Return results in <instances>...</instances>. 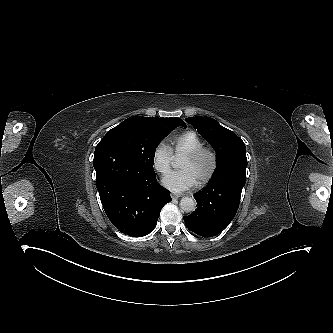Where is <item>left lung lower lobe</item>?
I'll return each instance as SVG.
<instances>
[{"instance_id":"1","label":"left lung lower lobe","mask_w":333,"mask_h":333,"mask_svg":"<svg viewBox=\"0 0 333 333\" xmlns=\"http://www.w3.org/2000/svg\"><path fill=\"white\" fill-rule=\"evenodd\" d=\"M245 182L246 172L235 182L211 179L202 191L194 195L198 207L190 215L184 216L185 226L203 237L218 235L234 218Z\"/></svg>"}]
</instances>
